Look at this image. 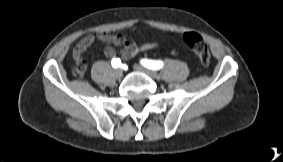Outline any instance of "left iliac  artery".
<instances>
[{
	"label": "left iliac artery",
	"instance_id": "left-iliac-artery-1",
	"mask_svg": "<svg viewBox=\"0 0 283 162\" xmlns=\"http://www.w3.org/2000/svg\"><path fill=\"white\" fill-rule=\"evenodd\" d=\"M141 64L147 67L148 69H152V70H159L160 68L163 67L162 61H155V60H148V59L141 60Z\"/></svg>",
	"mask_w": 283,
	"mask_h": 162
}]
</instances>
